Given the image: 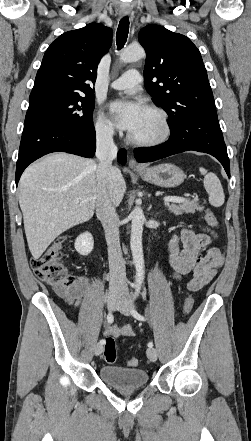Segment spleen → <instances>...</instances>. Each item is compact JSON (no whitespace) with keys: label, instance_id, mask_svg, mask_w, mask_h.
Masks as SVG:
<instances>
[{"label":"spleen","instance_id":"1","mask_svg":"<svg viewBox=\"0 0 251 441\" xmlns=\"http://www.w3.org/2000/svg\"><path fill=\"white\" fill-rule=\"evenodd\" d=\"M199 171L204 175V187L209 195V203L214 207L222 206L225 201V195L219 178L203 167H200Z\"/></svg>","mask_w":251,"mask_h":441}]
</instances>
